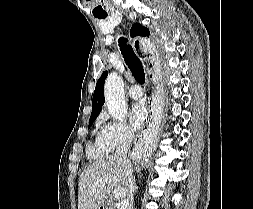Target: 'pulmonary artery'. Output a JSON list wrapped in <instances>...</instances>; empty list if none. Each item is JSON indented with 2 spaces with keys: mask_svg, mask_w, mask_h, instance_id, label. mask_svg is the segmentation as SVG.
<instances>
[{
  "mask_svg": "<svg viewBox=\"0 0 253 209\" xmlns=\"http://www.w3.org/2000/svg\"><path fill=\"white\" fill-rule=\"evenodd\" d=\"M129 95L133 99H140L143 96V91L139 85H132L129 89Z\"/></svg>",
  "mask_w": 253,
  "mask_h": 209,
  "instance_id": "obj_1",
  "label": "pulmonary artery"
}]
</instances>
